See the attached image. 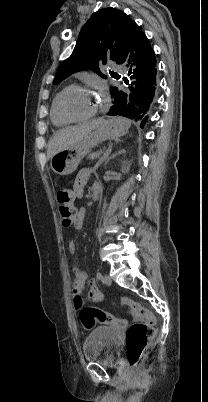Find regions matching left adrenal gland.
I'll list each match as a JSON object with an SVG mask.
<instances>
[{"instance_id": "obj_1", "label": "left adrenal gland", "mask_w": 208, "mask_h": 402, "mask_svg": "<svg viewBox=\"0 0 208 402\" xmlns=\"http://www.w3.org/2000/svg\"><path fill=\"white\" fill-rule=\"evenodd\" d=\"M123 152H125V150H121V152H118V154H113V156H108L107 154V158H105V166L108 164L109 160H113V158H116V156H119V154H123Z\"/></svg>"}]
</instances>
